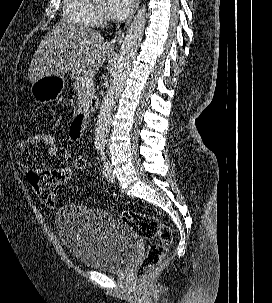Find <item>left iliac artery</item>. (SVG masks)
<instances>
[{
    "instance_id": "1",
    "label": "left iliac artery",
    "mask_w": 272,
    "mask_h": 303,
    "mask_svg": "<svg viewBox=\"0 0 272 303\" xmlns=\"http://www.w3.org/2000/svg\"><path fill=\"white\" fill-rule=\"evenodd\" d=\"M100 150H101V151H100V153H101V160H102V161H105L104 146H102Z\"/></svg>"
}]
</instances>
